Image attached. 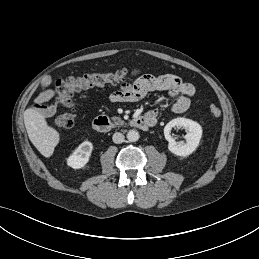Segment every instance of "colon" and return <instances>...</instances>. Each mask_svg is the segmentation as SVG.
Masks as SVG:
<instances>
[{"instance_id":"1","label":"colon","mask_w":259,"mask_h":259,"mask_svg":"<svg viewBox=\"0 0 259 259\" xmlns=\"http://www.w3.org/2000/svg\"><path fill=\"white\" fill-rule=\"evenodd\" d=\"M130 75L126 69L111 73L91 74L82 77H70L60 79L56 83L57 102L69 111L61 112L55 119V125L59 130H69L75 126V115L73 113L74 103L72 97L75 93L105 84L123 83ZM209 113L213 117L220 115V109L215 105L209 106Z\"/></svg>"}]
</instances>
